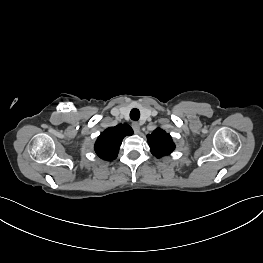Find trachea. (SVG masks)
Returning <instances> with one entry per match:
<instances>
[{"instance_id": "3493384b", "label": "trachea", "mask_w": 263, "mask_h": 263, "mask_svg": "<svg viewBox=\"0 0 263 263\" xmlns=\"http://www.w3.org/2000/svg\"><path fill=\"white\" fill-rule=\"evenodd\" d=\"M130 118L134 121H137L140 118V111L136 108L130 111Z\"/></svg>"}]
</instances>
